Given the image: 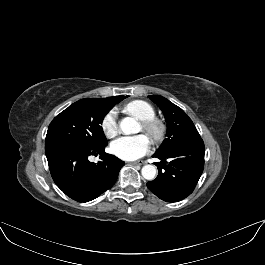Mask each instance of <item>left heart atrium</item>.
I'll list each match as a JSON object with an SVG mask.
<instances>
[{"instance_id":"left-heart-atrium-1","label":"left heart atrium","mask_w":265,"mask_h":265,"mask_svg":"<svg viewBox=\"0 0 265 265\" xmlns=\"http://www.w3.org/2000/svg\"><path fill=\"white\" fill-rule=\"evenodd\" d=\"M150 149V140L146 135L122 136L111 144L112 152L124 160H136Z\"/></svg>"}]
</instances>
